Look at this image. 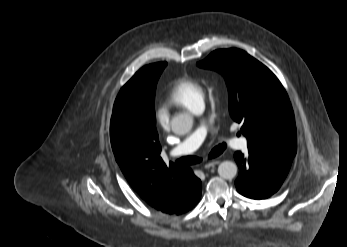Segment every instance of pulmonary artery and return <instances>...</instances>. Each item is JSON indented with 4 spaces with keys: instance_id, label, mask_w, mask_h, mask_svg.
Here are the masks:
<instances>
[{
    "instance_id": "obj_1",
    "label": "pulmonary artery",
    "mask_w": 347,
    "mask_h": 247,
    "mask_svg": "<svg viewBox=\"0 0 347 247\" xmlns=\"http://www.w3.org/2000/svg\"><path fill=\"white\" fill-rule=\"evenodd\" d=\"M204 111V103L200 102L196 105L193 112L201 114ZM206 131L203 127L196 129L193 133L187 136L182 143L171 151L172 156L190 154L196 151L205 139ZM228 145L233 149L244 150L247 148V139L245 137L232 138L229 137L225 140Z\"/></svg>"
}]
</instances>
